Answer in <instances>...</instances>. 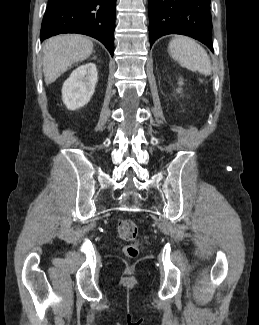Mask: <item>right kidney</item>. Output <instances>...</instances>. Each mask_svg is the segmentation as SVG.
I'll return each instance as SVG.
<instances>
[{
    "label": "right kidney",
    "mask_w": 259,
    "mask_h": 325,
    "mask_svg": "<svg viewBox=\"0 0 259 325\" xmlns=\"http://www.w3.org/2000/svg\"><path fill=\"white\" fill-rule=\"evenodd\" d=\"M98 72L94 63L77 67L64 82L62 100L69 110L85 106L95 91Z\"/></svg>",
    "instance_id": "obj_1"
}]
</instances>
